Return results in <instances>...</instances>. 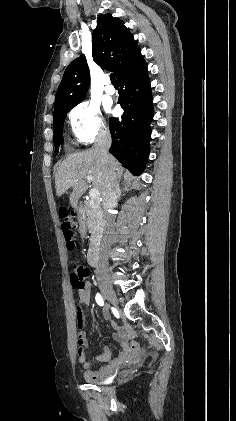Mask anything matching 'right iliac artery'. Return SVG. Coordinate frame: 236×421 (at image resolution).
Returning a JSON list of instances; mask_svg holds the SVG:
<instances>
[{"mask_svg": "<svg viewBox=\"0 0 236 421\" xmlns=\"http://www.w3.org/2000/svg\"><path fill=\"white\" fill-rule=\"evenodd\" d=\"M95 299H96V302H97L98 305H100V306H103L104 305L103 298H102V296L99 293L96 294V298Z\"/></svg>", "mask_w": 236, "mask_h": 421, "instance_id": "82829eb1", "label": "right iliac artery"}]
</instances>
